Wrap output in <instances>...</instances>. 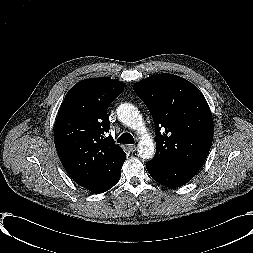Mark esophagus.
I'll list each match as a JSON object with an SVG mask.
<instances>
[{"label": "esophagus", "instance_id": "obj_1", "mask_svg": "<svg viewBox=\"0 0 253 253\" xmlns=\"http://www.w3.org/2000/svg\"><path fill=\"white\" fill-rule=\"evenodd\" d=\"M128 149H129L130 152H135L136 149H137V146L136 145H129Z\"/></svg>", "mask_w": 253, "mask_h": 253}]
</instances>
